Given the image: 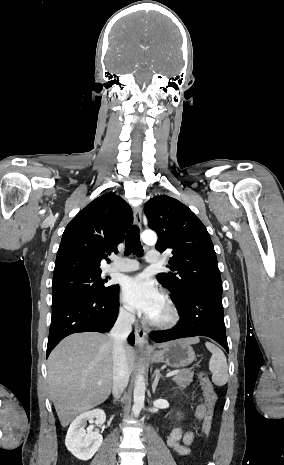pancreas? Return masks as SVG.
Masks as SVG:
<instances>
[{"mask_svg": "<svg viewBox=\"0 0 284 465\" xmlns=\"http://www.w3.org/2000/svg\"><path fill=\"white\" fill-rule=\"evenodd\" d=\"M194 373L191 371H183V373H178V375H174L173 381L179 385L178 389H185L187 385L192 383Z\"/></svg>", "mask_w": 284, "mask_h": 465, "instance_id": "1", "label": "pancreas"}]
</instances>
